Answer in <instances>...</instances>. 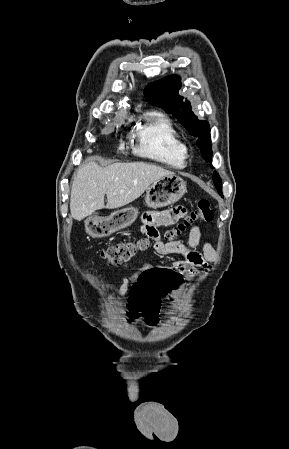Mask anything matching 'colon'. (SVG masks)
I'll return each mask as SVG.
<instances>
[{
    "instance_id": "5ec220e1",
    "label": "colon",
    "mask_w": 289,
    "mask_h": 449,
    "mask_svg": "<svg viewBox=\"0 0 289 449\" xmlns=\"http://www.w3.org/2000/svg\"><path fill=\"white\" fill-rule=\"evenodd\" d=\"M214 212L206 199L199 200L195 209L176 227L165 233V239L174 241L193 222H210ZM95 222H91L94 225ZM152 240L142 238L137 241L119 242L101 251V256L111 265H121L130 261L138 252L146 250ZM182 282L181 272L174 268H143L134 289L131 291L128 308L144 310L147 308L149 323H155L160 305H165L168 292Z\"/></svg>"
}]
</instances>
